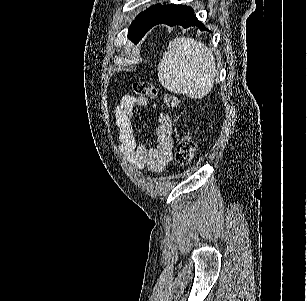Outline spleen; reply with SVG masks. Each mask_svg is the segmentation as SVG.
Here are the masks:
<instances>
[{
    "label": "spleen",
    "instance_id": "3e777b00",
    "mask_svg": "<svg viewBox=\"0 0 307 301\" xmlns=\"http://www.w3.org/2000/svg\"><path fill=\"white\" fill-rule=\"evenodd\" d=\"M214 54L200 40L176 36L158 64L160 84L177 94L203 98L211 92L216 76Z\"/></svg>",
    "mask_w": 307,
    "mask_h": 301
}]
</instances>
